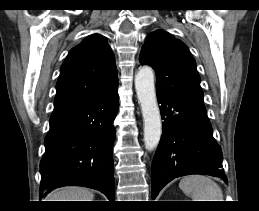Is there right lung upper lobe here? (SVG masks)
<instances>
[{
  "label": "right lung upper lobe",
  "mask_w": 259,
  "mask_h": 211,
  "mask_svg": "<svg viewBox=\"0 0 259 211\" xmlns=\"http://www.w3.org/2000/svg\"><path fill=\"white\" fill-rule=\"evenodd\" d=\"M56 89L54 111L83 105L117 90L115 61L104 36L92 34L71 49Z\"/></svg>",
  "instance_id": "right-lung-upper-lobe-1"
}]
</instances>
